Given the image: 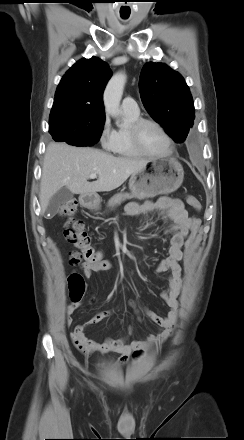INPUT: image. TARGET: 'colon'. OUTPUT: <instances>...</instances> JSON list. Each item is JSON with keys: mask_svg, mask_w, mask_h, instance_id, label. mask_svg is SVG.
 Returning <instances> with one entry per match:
<instances>
[{"mask_svg": "<svg viewBox=\"0 0 244 440\" xmlns=\"http://www.w3.org/2000/svg\"><path fill=\"white\" fill-rule=\"evenodd\" d=\"M187 203L195 210H200L201 204L199 200L194 196L187 197ZM77 209V203L75 200H68L62 203L57 213L59 216L66 219L64 224V236L66 239L75 245L78 250L71 253V262L76 264L81 259L89 262L93 265L99 266L103 269H109L111 264L108 260L103 258L100 251L95 250L90 243V237L83 228V223L80 220L74 218V214ZM201 225V220L197 217L193 218L191 225V235L185 245V255L188 256L191 253L194 239L197 235L198 229ZM69 289L70 295L74 302L81 300L86 291V285L82 276L78 273H72L69 276Z\"/></svg>", "mask_w": 244, "mask_h": 440, "instance_id": "5ec220e1", "label": "colon"}]
</instances>
